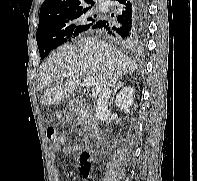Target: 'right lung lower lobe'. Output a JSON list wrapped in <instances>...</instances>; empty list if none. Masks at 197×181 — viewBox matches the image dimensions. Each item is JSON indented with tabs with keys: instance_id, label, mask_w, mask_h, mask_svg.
<instances>
[{
	"instance_id": "1",
	"label": "right lung lower lobe",
	"mask_w": 197,
	"mask_h": 181,
	"mask_svg": "<svg viewBox=\"0 0 197 181\" xmlns=\"http://www.w3.org/2000/svg\"><path fill=\"white\" fill-rule=\"evenodd\" d=\"M119 15L114 21H97L92 29L101 30L109 35L121 37L129 43L139 38L146 27L148 0H113Z\"/></svg>"
}]
</instances>
